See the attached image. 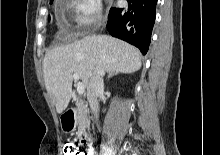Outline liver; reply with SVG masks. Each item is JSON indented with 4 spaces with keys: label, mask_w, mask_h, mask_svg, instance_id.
<instances>
[{
    "label": "liver",
    "mask_w": 220,
    "mask_h": 155,
    "mask_svg": "<svg viewBox=\"0 0 220 155\" xmlns=\"http://www.w3.org/2000/svg\"><path fill=\"white\" fill-rule=\"evenodd\" d=\"M141 53L130 44L108 35H91L47 52L43 61L46 90L61 114L72 96L73 74L88 88L95 69L133 73L141 68Z\"/></svg>",
    "instance_id": "6515ba94"
}]
</instances>
